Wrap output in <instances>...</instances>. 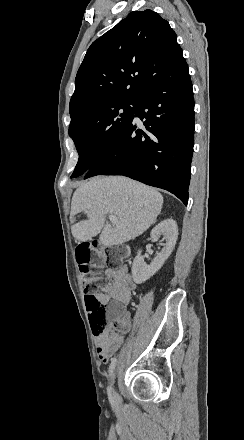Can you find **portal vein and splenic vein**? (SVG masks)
Listing matches in <instances>:
<instances>
[{
	"mask_svg": "<svg viewBox=\"0 0 244 440\" xmlns=\"http://www.w3.org/2000/svg\"><path fill=\"white\" fill-rule=\"evenodd\" d=\"M109 220H110L111 224H113V226H114V224H117V222H118L116 216H109Z\"/></svg>",
	"mask_w": 244,
	"mask_h": 440,
	"instance_id": "1",
	"label": "portal vein and splenic vein"
}]
</instances>
